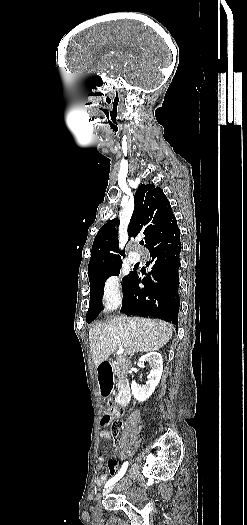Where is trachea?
<instances>
[{
  "label": "trachea",
  "mask_w": 247,
  "mask_h": 525,
  "mask_svg": "<svg viewBox=\"0 0 247 525\" xmlns=\"http://www.w3.org/2000/svg\"><path fill=\"white\" fill-rule=\"evenodd\" d=\"M143 244H144V242H143V241H141V242H140V245H143Z\"/></svg>",
  "instance_id": "1"
}]
</instances>
